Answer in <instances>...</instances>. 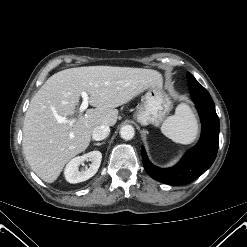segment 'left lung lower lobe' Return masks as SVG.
Instances as JSON below:
<instances>
[{"instance_id":"left-lung-lower-lobe-1","label":"left lung lower lobe","mask_w":247,"mask_h":247,"mask_svg":"<svg viewBox=\"0 0 247 247\" xmlns=\"http://www.w3.org/2000/svg\"><path fill=\"white\" fill-rule=\"evenodd\" d=\"M192 99L198 109L201 138L181 161L172 168H159L148 159L142 147L143 165L148 174L157 181L170 185H184L202 175L214 162L219 146V119L214 102L208 91L194 78H188Z\"/></svg>"}]
</instances>
